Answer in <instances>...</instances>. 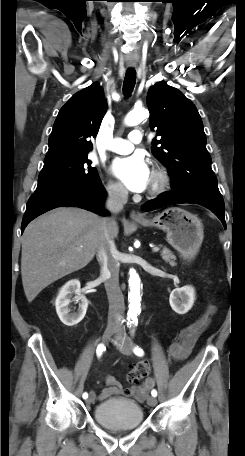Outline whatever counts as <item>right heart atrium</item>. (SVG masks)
I'll return each instance as SVG.
<instances>
[{
  "label": "right heart atrium",
  "mask_w": 245,
  "mask_h": 456,
  "mask_svg": "<svg viewBox=\"0 0 245 456\" xmlns=\"http://www.w3.org/2000/svg\"><path fill=\"white\" fill-rule=\"evenodd\" d=\"M106 190L110 197L117 200L123 199L126 195L123 186L117 182L109 181L106 185Z\"/></svg>",
  "instance_id": "obj_1"
}]
</instances>
